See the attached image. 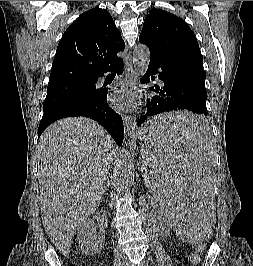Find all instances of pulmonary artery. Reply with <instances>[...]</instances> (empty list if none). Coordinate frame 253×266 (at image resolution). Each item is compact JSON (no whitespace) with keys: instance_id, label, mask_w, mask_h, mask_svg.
<instances>
[{"instance_id":"1","label":"pulmonary artery","mask_w":253,"mask_h":266,"mask_svg":"<svg viewBox=\"0 0 253 266\" xmlns=\"http://www.w3.org/2000/svg\"><path fill=\"white\" fill-rule=\"evenodd\" d=\"M103 82V79H100V83H102Z\"/></svg>"}]
</instances>
